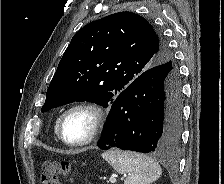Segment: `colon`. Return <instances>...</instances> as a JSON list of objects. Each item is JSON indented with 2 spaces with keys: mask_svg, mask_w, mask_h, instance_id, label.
<instances>
[{
  "mask_svg": "<svg viewBox=\"0 0 224 184\" xmlns=\"http://www.w3.org/2000/svg\"><path fill=\"white\" fill-rule=\"evenodd\" d=\"M75 171L67 161L46 162L40 172V184H60L61 177H72Z\"/></svg>",
  "mask_w": 224,
  "mask_h": 184,
  "instance_id": "obj_1",
  "label": "colon"
}]
</instances>
